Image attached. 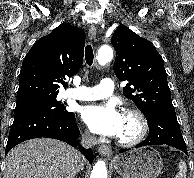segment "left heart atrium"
I'll list each match as a JSON object with an SVG mask.
<instances>
[{
    "instance_id": "1",
    "label": "left heart atrium",
    "mask_w": 194,
    "mask_h": 178,
    "mask_svg": "<svg viewBox=\"0 0 194 178\" xmlns=\"http://www.w3.org/2000/svg\"><path fill=\"white\" fill-rule=\"evenodd\" d=\"M122 114L112 104L88 105L82 108L81 118L94 133L116 137L122 131Z\"/></svg>"
}]
</instances>
